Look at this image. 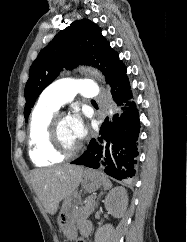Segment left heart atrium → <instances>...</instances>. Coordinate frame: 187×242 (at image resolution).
<instances>
[{"label":"left heart atrium","instance_id":"39dd6f15","mask_svg":"<svg viewBox=\"0 0 187 242\" xmlns=\"http://www.w3.org/2000/svg\"><path fill=\"white\" fill-rule=\"evenodd\" d=\"M68 119L75 138L80 141L86 133L82 118L79 115L75 114L70 116Z\"/></svg>","mask_w":187,"mask_h":242}]
</instances>
